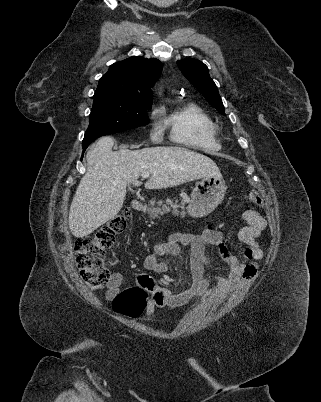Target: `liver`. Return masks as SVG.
<instances>
[{"mask_svg": "<svg viewBox=\"0 0 321 402\" xmlns=\"http://www.w3.org/2000/svg\"><path fill=\"white\" fill-rule=\"evenodd\" d=\"M114 139L101 138L86 155L87 171L81 179L69 210V229L85 237L114 218L121 210L129 184L143 172L151 177L147 189L174 187L221 173L209 157L182 147H147L112 151Z\"/></svg>", "mask_w": 321, "mask_h": 402, "instance_id": "liver-1", "label": "liver"}]
</instances>
